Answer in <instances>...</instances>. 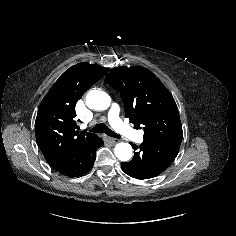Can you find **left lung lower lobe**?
Segmentation results:
<instances>
[{
    "label": "left lung lower lobe",
    "mask_w": 236,
    "mask_h": 236,
    "mask_svg": "<svg viewBox=\"0 0 236 236\" xmlns=\"http://www.w3.org/2000/svg\"><path fill=\"white\" fill-rule=\"evenodd\" d=\"M182 138L144 140L140 146L132 144L134 157L122 162V170L136 179H150L160 175L175 160Z\"/></svg>",
    "instance_id": "left-lung-lower-lobe-1"
}]
</instances>
